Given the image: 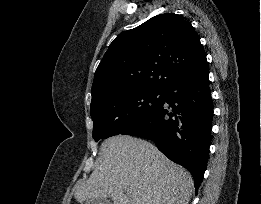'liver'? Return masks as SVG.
<instances>
[{
  "label": "liver",
  "instance_id": "6515ba94",
  "mask_svg": "<svg viewBox=\"0 0 261 204\" xmlns=\"http://www.w3.org/2000/svg\"><path fill=\"white\" fill-rule=\"evenodd\" d=\"M188 171L145 140L117 135L106 139L89 179L79 182L78 202L111 198L113 204H188L193 191Z\"/></svg>",
  "mask_w": 261,
  "mask_h": 204
}]
</instances>
